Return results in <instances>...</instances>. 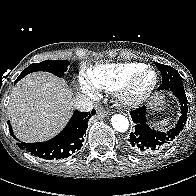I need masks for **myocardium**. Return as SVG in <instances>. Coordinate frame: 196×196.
I'll list each match as a JSON object with an SVG mask.
<instances>
[{
    "label": "myocardium",
    "instance_id": "myocardium-1",
    "mask_svg": "<svg viewBox=\"0 0 196 196\" xmlns=\"http://www.w3.org/2000/svg\"><path fill=\"white\" fill-rule=\"evenodd\" d=\"M152 72L154 79L152 83L142 92L136 91V86L140 82L145 73ZM159 83V74L155 68L144 65L134 74H132L117 90L118 98L121 103L127 107H136L143 104L153 94Z\"/></svg>",
    "mask_w": 196,
    "mask_h": 196
}]
</instances>
